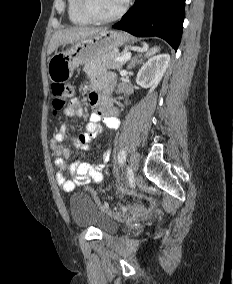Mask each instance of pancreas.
<instances>
[{"instance_id":"obj_1","label":"pancreas","mask_w":233,"mask_h":284,"mask_svg":"<svg viewBox=\"0 0 233 284\" xmlns=\"http://www.w3.org/2000/svg\"><path fill=\"white\" fill-rule=\"evenodd\" d=\"M119 52H108L95 58L89 63L84 65L83 70L88 75H99L107 71V69H117L120 70L125 62L116 61V58L121 56Z\"/></svg>"}]
</instances>
